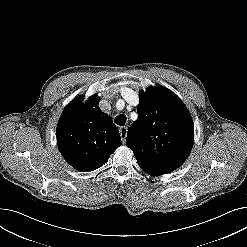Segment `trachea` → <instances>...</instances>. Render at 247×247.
I'll return each mask as SVG.
<instances>
[{
    "instance_id": "1",
    "label": "trachea",
    "mask_w": 247,
    "mask_h": 247,
    "mask_svg": "<svg viewBox=\"0 0 247 247\" xmlns=\"http://www.w3.org/2000/svg\"><path fill=\"white\" fill-rule=\"evenodd\" d=\"M126 120H127L126 116L124 114H120L117 117H115L114 122L119 126H123L125 125Z\"/></svg>"
}]
</instances>
